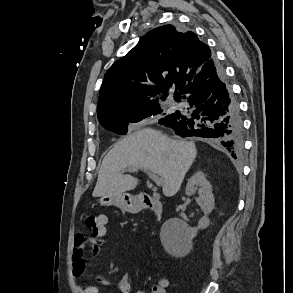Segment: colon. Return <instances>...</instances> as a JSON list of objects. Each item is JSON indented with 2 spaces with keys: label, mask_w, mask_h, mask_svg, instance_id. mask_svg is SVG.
Here are the masks:
<instances>
[{
  "label": "colon",
  "mask_w": 293,
  "mask_h": 293,
  "mask_svg": "<svg viewBox=\"0 0 293 293\" xmlns=\"http://www.w3.org/2000/svg\"><path fill=\"white\" fill-rule=\"evenodd\" d=\"M107 225V217L103 214H87L84 218V227L92 236H99L103 233ZM161 288L155 286L152 293H161Z\"/></svg>",
  "instance_id": "5ec220e1"
}]
</instances>
